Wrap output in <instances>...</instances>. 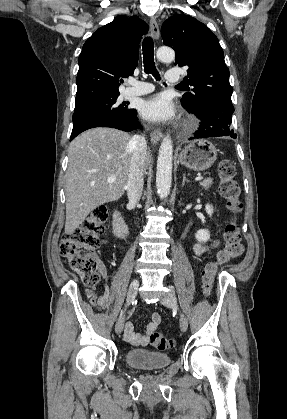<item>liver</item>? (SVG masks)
Listing matches in <instances>:
<instances>
[{
  "label": "liver",
  "mask_w": 287,
  "mask_h": 419,
  "mask_svg": "<svg viewBox=\"0 0 287 419\" xmlns=\"http://www.w3.org/2000/svg\"><path fill=\"white\" fill-rule=\"evenodd\" d=\"M131 136L112 128H94L76 137L68 149L65 180V233L70 235L99 205L121 198L126 190ZM151 162L146 153L145 167ZM115 176L113 182L108 178Z\"/></svg>",
  "instance_id": "6515ba94"
}]
</instances>
